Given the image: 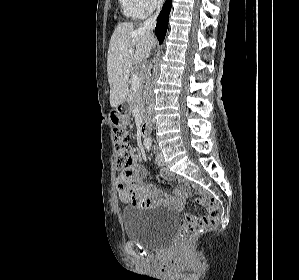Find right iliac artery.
<instances>
[{"instance_id": "1", "label": "right iliac artery", "mask_w": 299, "mask_h": 280, "mask_svg": "<svg viewBox=\"0 0 299 280\" xmlns=\"http://www.w3.org/2000/svg\"><path fill=\"white\" fill-rule=\"evenodd\" d=\"M144 146H145V148H146L148 151H150L151 146H152V140H151V139H146V140L144 141Z\"/></svg>"}]
</instances>
